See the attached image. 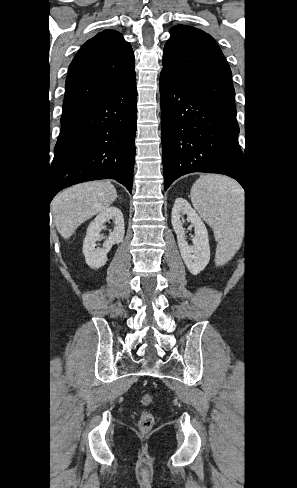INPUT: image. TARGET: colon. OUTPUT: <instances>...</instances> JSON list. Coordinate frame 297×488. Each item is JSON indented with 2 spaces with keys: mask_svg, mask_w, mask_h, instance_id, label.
Masks as SVG:
<instances>
[{
  "mask_svg": "<svg viewBox=\"0 0 297 488\" xmlns=\"http://www.w3.org/2000/svg\"><path fill=\"white\" fill-rule=\"evenodd\" d=\"M151 402H152V396L150 394H144L141 397V403L144 406L151 404ZM153 424H154V416L148 411H143L138 421L139 429L141 431H148L152 428Z\"/></svg>",
  "mask_w": 297,
  "mask_h": 488,
  "instance_id": "obj_1",
  "label": "colon"
}]
</instances>
